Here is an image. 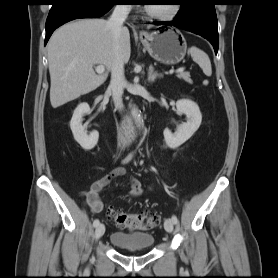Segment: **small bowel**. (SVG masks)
Segmentation results:
<instances>
[{
	"instance_id": "obj_1",
	"label": "small bowel",
	"mask_w": 278,
	"mask_h": 278,
	"mask_svg": "<svg viewBox=\"0 0 278 278\" xmlns=\"http://www.w3.org/2000/svg\"><path fill=\"white\" fill-rule=\"evenodd\" d=\"M126 173L123 167L115 168L110 174L94 182L86 193V204L94 213H100L103 210V203L100 199V192L111 182L113 178L123 176ZM130 195L138 197L143 194L141 183L136 178L131 177Z\"/></svg>"
}]
</instances>
